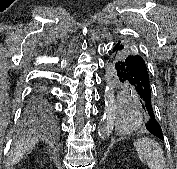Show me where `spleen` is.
Listing matches in <instances>:
<instances>
[{"label":"spleen","mask_w":177,"mask_h":169,"mask_svg":"<svg viewBox=\"0 0 177 169\" xmlns=\"http://www.w3.org/2000/svg\"><path fill=\"white\" fill-rule=\"evenodd\" d=\"M134 146L141 162L146 163L150 169H167L163 150L157 141L144 137L136 140Z\"/></svg>","instance_id":"obj_1"}]
</instances>
